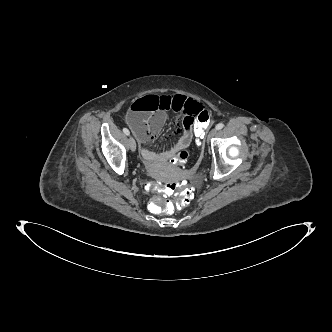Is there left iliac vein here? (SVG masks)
<instances>
[{
	"mask_svg": "<svg viewBox=\"0 0 332 332\" xmlns=\"http://www.w3.org/2000/svg\"><path fill=\"white\" fill-rule=\"evenodd\" d=\"M216 133H217V129H216V128H213V129L209 132V134H208V136H207V142H209L210 139L213 138V137L216 135Z\"/></svg>",
	"mask_w": 332,
	"mask_h": 332,
	"instance_id": "obj_1",
	"label": "left iliac vein"
}]
</instances>
